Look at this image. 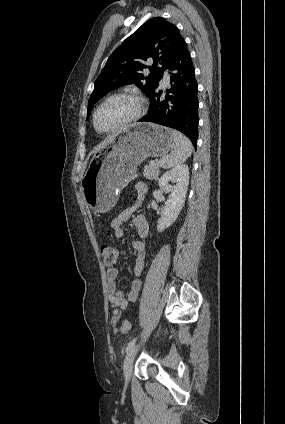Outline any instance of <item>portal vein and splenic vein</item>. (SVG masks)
<instances>
[{
    "mask_svg": "<svg viewBox=\"0 0 285 424\" xmlns=\"http://www.w3.org/2000/svg\"><path fill=\"white\" fill-rule=\"evenodd\" d=\"M150 163H151V164H154L155 162H154V161H151Z\"/></svg>",
    "mask_w": 285,
    "mask_h": 424,
    "instance_id": "1",
    "label": "portal vein and splenic vein"
}]
</instances>
